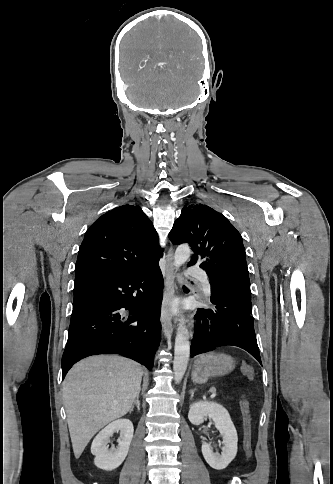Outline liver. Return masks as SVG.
Masks as SVG:
<instances>
[{
    "label": "liver",
    "mask_w": 333,
    "mask_h": 484,
    "mask_svg": "<svg viewBox=\"0 0 333 484\" xmlns=\"http://www.w3.org/2000/svg\"><path fill=\"white\" fill-rule=\"evenodd\" d=\"M142 375L138 363L120 356H92L70 369L63 400L76 459L101 428L128 413Z\"/></svg>",
    "instance_id": "liver-1"
}]
</instances>
